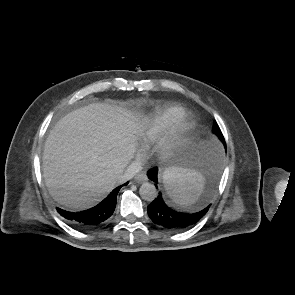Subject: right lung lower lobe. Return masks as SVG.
Returning a JSON list of instances; mask_svg holds the SVG:
<instances>
[{
	"label": "right lung lower lobe",
	"mask_w": 295,
	"mask_h": 295,
	"mask_svg": "<svg viewBox=\"0 0 295 295\" xmlns=\"http://www.w3.org/2000/svg\"><path fill=\"white\" fill-rule=\"evenodd\" d=\"M122 186L115 188L101 203L91 209L82 212H69L57 208V211L77 227L83 229L94 228L103 224L113 214L116 207L117 194Z\"/></svg>",
	"instance_id": "1"
}]
</instances>
